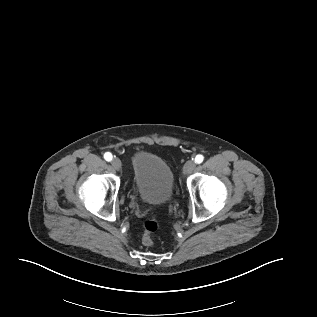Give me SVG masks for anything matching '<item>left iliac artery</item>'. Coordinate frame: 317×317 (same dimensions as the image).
<instances>
[{"instance_id":"44dca946","label":"left iliac artery","mask_w":317,"mask_h":317,"mask_svg":"<svg viewBox=\"0 0 317 317\" xmlns=\"http://www.w3.org/2000/svg\"><path fill=\"white\" fill-rule=\"evenodd\" d=\"M203 160H204V157L202 155H197L195 157V162L198 163V164L203 162Z\"/></svg>"}]
</instances>
